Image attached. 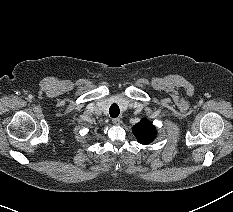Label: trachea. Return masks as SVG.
I'll return each instance as SVG.
<instances>
[{"instance_id": "3493384b", "label": "trachea", "mask_w": 233, "mask_h": 212, "mask_svg": "<svg viewBox=\"0 0 233 212\" xmlns=\"http://www.w3.org/2000/svg\"><path fill=\"white\" fill-rule=\"evenodd\" d=\"M109 114L111 117L116 118L120 114L119 106L113 103L109 108Z\"/></svg>"}]
</instances>
